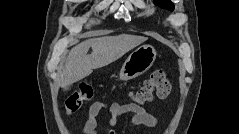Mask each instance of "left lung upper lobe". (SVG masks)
<instances>
[{
    "label": "left lung upper lobe",
    "mask_w": 239,
    "mask_h": 134,
    "mask_svg": "<svg viewBox=\"0 0 239 134\" xmlns=\"http://www.w3.org/2000/svg\"><path fill=\"white\" fill-rule=\"evenodd\" d=\"M155 4L171 11L174 9V5L170 0H155Z\"/></svg>",
    "instance_id": "5c2ea615"
}]
</instances>
